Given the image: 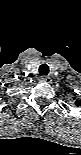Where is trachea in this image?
<instances>
[{"instance_id": "3493384b", "label": "trachea", "mask_w": 81, "mask_h": 155, "mask_svg": "<svg viewBox=\"0 0 81 155\" xmlns=\"http://www.w3.org/2000/svg\"><path fill=\"white\" fill-rule=\"evenodd\" d=\"M40 75L46 76L49 73V67L47 64H42L39 67Z\"/></svg>"}]
</instances>
